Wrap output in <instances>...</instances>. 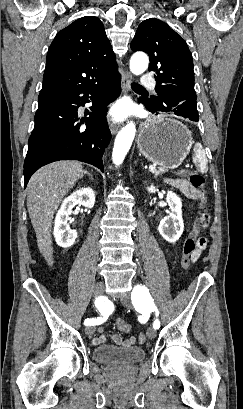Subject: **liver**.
I'll use <instances>...</instances> for the list:
<instances>
[{"label": "liver", "mask_w": 243, "mask_h": 409, "mask_svg": "<svg viewBox=\"0 0 243 409\" xmlns=\"http://www.w3.org/2000/svg\"><path fill=\"white\" fill-rule=\"evenodd\" d=\"M85 174L77 161H58L40 168L27 185V209L39 251L51 266L52 219L63 197Z\"/></svg>", "instance_id": "liver-1"}]
</instances>
